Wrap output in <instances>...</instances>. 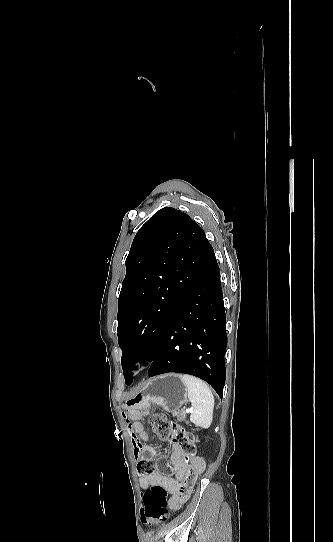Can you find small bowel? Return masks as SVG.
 <instances>
[{"instance_id":"obj_1","label":"small bowel","mask_w":333,"mask_h":542,"mask_svg":"<svg viewBox=\"0 0 333 542\" xmlns=\"http://www.w3.org/2000/svg\"><path fill=\"white\" fill-rule=\"evenodd\" d=\"M137 415L138 413H132L129 409L124 410L122 413V416L125 419L124 421L127 424L130 423L132 417L139 419ZM129 431L132 445L135 450L133 452V457L135 459L141 458L143 462L148 463L152 458L157 456L156 450L148 444L149 438L144 431L141 422L135 421L130 423ZM170 463L173 467L175 478L157 472L142 477L140 479V485L143 488H149L153 485L163 486L171 495L169 499L170 508L178 510L188 500L191 492L184 493L182 491L183 484L190 480L193 485L200 474L204 472L206 463L203 458L191 455L184 451L181 445L176 441L171 443Z\"/></svg>"}]
</instances>
